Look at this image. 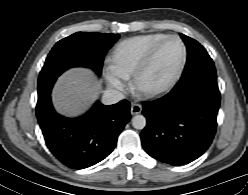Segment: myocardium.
<instances>
[{"instance_id":"f54148a6","label":"myocardium","mask_w":248,"mask_h":195,"mask_svg":"<svg viewBox=\"0 0 248 195\" xmlns=\"http://www.w3.org/2000/svg\"><path fill=\"white\" fill-rule=\"evenodd\" d=\"M172 39L179 40L181 42V44H182V47H183L182 60H181V63L179 65L176 73L173 75V77L170 80H168L162 86H159V87H156V88H146L143 85V80H144L145 76L152 69V67L154 65V62H155L160 50L163 48V46L168 41H170ZM187 57H188V50H187V46H186L185 42L183 41V39L181 37H179L178 35L167 36L165 39H163L161 42H159L155 46V48L151 51V53L149 54V56L146 59V61L144 62V64L135 73L134 79H133V87H134V89L138 93H140L141 95L146 96V97H155V96H158V95H161V94L167 92L168 90H170L176 84V82L181 77V75H182V73L184 71V68L186 66V63H187Z\"/></svg>"}]
</instances>
